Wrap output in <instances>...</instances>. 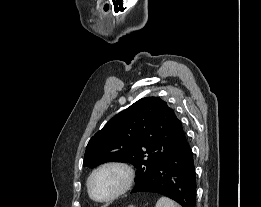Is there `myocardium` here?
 Here are the masks:
<instances>
[{"instance_id": "f54148a6", "label": "myocardium", "mask_w": 261, "mask_h": 207, "mask_svg": "<svg viewBox=\"0 0 261 207\" xmlns=\"http://www.w3.org/2000/svg\"><path fill=\"white\" fill-rule=\"evenodd\" d=\"M109 168L120 170L124 175V182H123L122 186L110 197L105 198V199H98L93 195V192H92V187H91L92 180L97 173H99L102 170L109 169ZM134 178H135L134 170L132 169L131 166H129L128 164H126L124 162L110 161V162L103 163V164L99 165L97 168H95L91 172L90 176L88 177V180H87L88 194H89L90 198L97 203H109V202L117 199L121 195L125 194L131 188V186L134 182Z\"/></svg>"}]
</instances>
